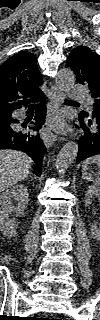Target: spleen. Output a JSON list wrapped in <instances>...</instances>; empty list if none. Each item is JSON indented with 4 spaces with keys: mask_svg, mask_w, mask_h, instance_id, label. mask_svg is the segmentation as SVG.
<instances>
[{
    "mask_svg": "<svg viewBox=\"0 0 100 320\" xmlns=\"http://www.w3.org/2000/svg\"><path fill=\"white\" fill-rule=\"evenodd\" d=\"M99 162H100V156H98V155H97V156L90 157V158L86 159V160L83 162V164H82V169H83V170H82V176H83V179H86V180H88V181H94V182H96V183L99 182V177H98V175H97L96 178L94 179L91 174H88V173H87V169H88V165H89V164H91V163L99 164Z\"/></svg>",
    "mask_w": 100,
    "mask_h": 320,
    "instance_id": "spleen-1",
    "label": "spleen"
}]
</instances>
